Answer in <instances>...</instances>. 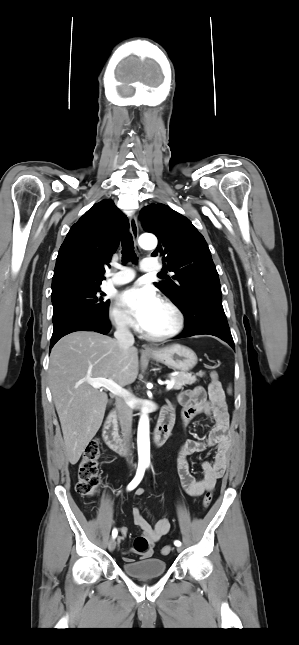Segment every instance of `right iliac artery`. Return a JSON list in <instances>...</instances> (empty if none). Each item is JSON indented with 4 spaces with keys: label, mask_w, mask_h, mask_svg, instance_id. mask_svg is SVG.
Masks as SVG:
<instances>
[{
    "label": "right iliac artery",
    "mask_w": 299,
    "mask_h": 645,
    "mask_svg": "<svg viewBox=\"0 0 299 645\" xmlns=\"http://www.w3.org/2000/svg\"><path fill=\"white\" fill-rule=\"evenodd\" d=\"M144 472H145V466H142V465L139 466L138 469H137V472H136V475H135L134 479L129 483V485L127 487V489L129 491L133 490L134 488H136L138 486V484L141 482V480H142V478L144 476ZM117 534H118V531L116 529H113L112 537L116 538Z\"/></svg>",
    "instance_id": "right-iliac-artery-1"
}]
</instances>
